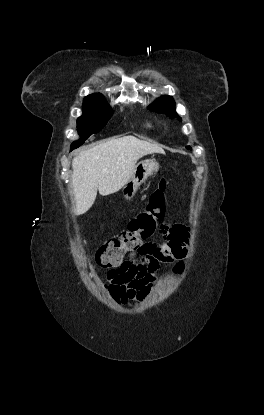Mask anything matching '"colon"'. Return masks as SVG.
Wrapping results in <instances>:
<instances>
[{
  "mask_svg": "<svg viewBox=\"0 0 264 415\" xmlns=\"http://www.w3.org/2000/svg\"><path fill=\"white\" fill-rule=\"evenodd\" d=\"M167 182L161 179L156 190L149 199L145 211L139 213L127 224L117 236L105 241L96 252V266L100 269H122L129 258L142 248V245L155 234L165 235L170 232V226L165 223ZM179 269L176 273H179ZM117 299H123L124 290L115 294Z\"/></svg>",
  "mask_w": 264,
  "mask_h": 415,
  "instance_id": "5ec220e1",
  "label": "colon"
}]
</instances>
